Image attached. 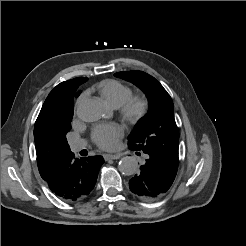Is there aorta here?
Returning a JSON list of instances; mask_svg holds the SVG:
<instances>
[{"label":"aorta","mask_w":246,"mask_h":246,"mask_svg":"<svg viewBox=\"0 0 246 246\" xmlns=\"http://www.w3.org/2000/svg\"><path fill=\"white\" fill-rule=\"evenodd\" d=\"M103 115V105L98 99H85L77 106V116L84 122L98 121ZM118 169L123 175H133L138 170V162L131 156L121 158Z\"/></svg>","instance_id":"obj_1"}]
</instances>
